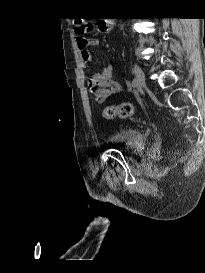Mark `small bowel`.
<instances>
[{
    "mask_svg": "<svg viewBox=\"0 0 205 273\" xmlns=\"http://www.w3.org/2000/svg\"><path fill=\"white\" fill-rule=\"evenodd\" d=\"M76 43L82 62H90L92 56L89 47L98 45V39L78 36ZM88 84L90 92L98 104H103L110 96L122 90V85L113 79V66L111 64H105L100 71L90 74Z\"/></svg>",
    "mask_w": 205,
    "mask_h": 273,
    "instance_id": "c3829d8e",
    "label": "small bowel"
}]
</instances>
